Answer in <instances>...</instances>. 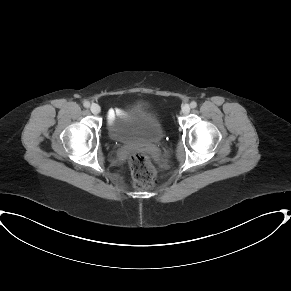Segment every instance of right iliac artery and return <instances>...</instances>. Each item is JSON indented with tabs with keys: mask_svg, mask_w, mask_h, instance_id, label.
I'll use <instances>...</instances> for the list:
<instances>
[{
	"mask_svg": "<svg viewBox=\"0 0 291 291\" xmlns=\"http://www.w3.org/2000/svg\"><path fill=\"white\" fill-rule=\"evenodd\" d=\"M85 108H89L90 107V102L89 101H84L83 103Z\"/></svg>",
	"mask_w": 291,
	"mask_h": 291,
	"instance_id": "1",
	"label": "right iliac artery"
}]
</instances>
